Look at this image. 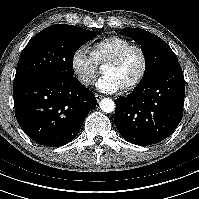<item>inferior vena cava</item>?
Instances as JSON below:
<instances>
[{
	"instance_id": "obj_1",
	"label": "inferior vena cava",
	"mask_w": 199,
	"mask_h": 199,
	"mask_svg": "<svg viewBox=\"0 0 199 199\" xmlns=\"http://www.w3.org/2000/svg\"><path fill=\"white\" fill-rule=\"evenodd\" d=\"M93 81H92V79H90V78H87V79H85L84 80V83L86 84V85H89V84H91Z\"/></svg>"
}]
</instances>
